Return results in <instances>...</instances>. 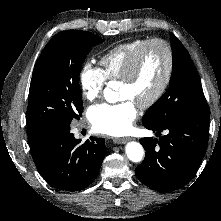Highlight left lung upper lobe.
Wrapping results in <instances>:
<instances>
[{
	"label": "left lung upper lobe",
	"instance_id": "1",
	"mask_svg": "<svg viewBox=\"0 0 221 221\" xmlns=\"http://www.w3.org/2000/svg\"><path fill=\"white\" fill-rule=\"evenodd\" d=\"M173 70L168 90L143 117V125L160 128L184 113L204 112L208 108L198 72L182 43L170 35Z\"/></svg>",
	"mask_w": 221,
	"mask_h": 221
}]
</instances>
